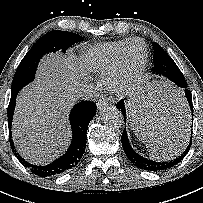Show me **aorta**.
I'll use <instances>...</instances> for the list:
<instances>
[{"label": "aorta", "instance_id": "762f6f07", "mask_svg": "<svg viewBox=\"0 0 203 203\" xmlns=\"http://www.w3.org/2000/svg\"><path fill=\"white\" fill-rule=\"evenodd\" d=\"M101 117L103 122L112 128H120L124 123L121 111L114 106L104 108Z\"/></svg>", "mask_w": 203, "mask_h": 203}]
</instances>
